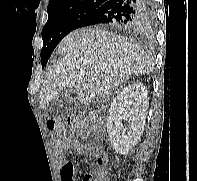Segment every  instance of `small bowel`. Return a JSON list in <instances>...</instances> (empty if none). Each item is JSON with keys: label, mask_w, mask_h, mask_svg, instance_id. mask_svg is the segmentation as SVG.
<instances>
[{"label": "small bowel", "mask_w": 197, "mask_h": 181, "mask_svg": "<svg viewBox=\"0 0 197 181\" xmlns=\"http://www.w3.org/2000/svg\"><path fill=\"white\" fill-rule=\"evenodd\" d=\"M71 147H74L78 153H82L86 149L84 145L72 137L67 138L63 144L56 147V159L60 163L62 181H75L74 165L70 161H65L66 153Z\"/></svg>", "instance_id": "small-bowel-1"}]
</instances>
